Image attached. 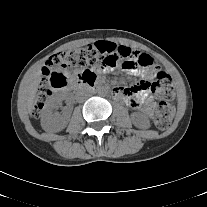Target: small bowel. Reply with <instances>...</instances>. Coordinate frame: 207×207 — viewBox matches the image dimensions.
I'll return each mask as SVG.
<instances>
[{"instance_id": "small-bowel-1", "label": "small bowel", "mask_w": 207, "mask_h": 207, "mask_svg": "<svg viewBox=\"0 0 207 207\" xmlns=\"http://www.w3.org/2000/svg\"><path fill=\"white\" fill-rule=\"evenodd\" d=\"M147 55V54H145ZM131 75H145L151 76L152 74H145L142 72L141 67H132L125 69ZM150 82L148 80H142L135 86L126 87H115L113 88V96L117 99H122L132 109H138L142 105L146 104V113L151 116L153 113L152 97L149 95Z\"/></svg>"}]
</instances>
